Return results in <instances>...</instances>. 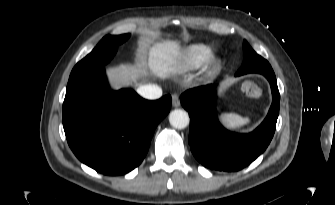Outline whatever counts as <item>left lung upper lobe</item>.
<instances>
[{"instance_id": "left-lung-upper-lobe-1", "label": "left lung upper lobe", "mask_w": 335, "mask_h": 205, "mask_svg": "<svg viewBox=\"0 0 335 205\" xmlns=\"http://www.w3.org/2000/svg\"><path fill=\"white\" fill-rule=\"evenodd\" d=\"M244 59L241 68L237 74L243 75L247 73H260V74H274L271 65L267 60L258 55L246 40L243 42Z\"/></svg>"}]
</instances>
